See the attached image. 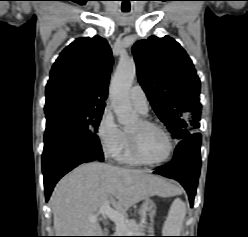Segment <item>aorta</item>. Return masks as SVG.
Returning a JSON list of instances; mask_svg holds the SVG:
<instances>
[{"label":"aorta","instance_id":"obj_1","mask_svg":"<svg viewBox=\"0 0 248 237\" xmlns=\"http://www.w3.org/2000/svg\"><path fill=\"white\" fill-rule=\"evenodd\" d=\"M136 75L134 60H121L114 73L110 89V100L117 121L123 126H129L136 122L137 114L133 111L129 90Z\"/></svg>","mask_w":248,"mask_h":237}]
</instances>
